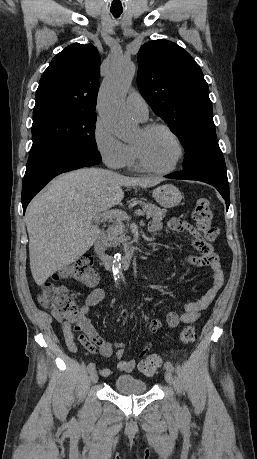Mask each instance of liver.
I'll use <instances>...</instances> for the list:
<instances>
[{"instance_id": "obj_1", "label": "liver", "mask_w": 257, "mask_h": 459, "mask_svg": "<svg viewBox=\"0 0 257 459\" xmlns=\"http://www.w3.org/2000/svg\"><path fill=\"white\" fill-rule=\"evenodd\" d=\"M161 181L100 168H82L54 179L31 201L25 214L36 284L43 285L91 248L100 233L93 221L121 202L122 186L149 188Z\"/></svg>"}]
</instances>
